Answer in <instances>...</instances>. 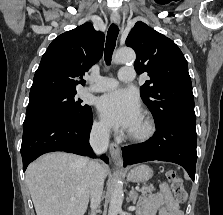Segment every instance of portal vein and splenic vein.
I'll return each instance as SVG.
<instances>
[{
  "label": "portal vein and splenic vein",
  "mask_w": 223,
  "mask_h": 215,
  "mask_svg": "<svg viewBox=\"0 0 223 215\" xmlns=\"http://www.w3.org/2000/svg\"><path fill=\"white\" fill-rule=\"evenodd\" d=\"M136 190L140 187H138L137 185L134 187ZM71 199H76V197H71Z\"/></svg>",
  "instance_id": "portal-vein-and-splenic-vein-1"
}]
</instances>
